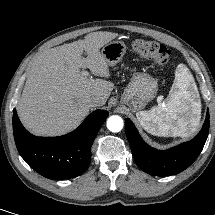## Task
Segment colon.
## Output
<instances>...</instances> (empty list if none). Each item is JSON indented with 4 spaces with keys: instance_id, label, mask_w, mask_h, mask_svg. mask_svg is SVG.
<instances>
[{
    "instance_id": "5ec220e1",
    "label": "colon",
    "mask_w": 215,
    "mask_h": 215,
    "mask_svg": "<svg viewBox=\"0 0 215 215\" xmlns=\"http://www.w3.org/2000/svg\"><path fill=\"white\" fill-rule=\"evenodd\" d=\"M134 52L142 59L153 60L160 65L166 64L171 56L170 50L157 42L137 39L133 42Z\"/></svg>"
}]
</instances>
